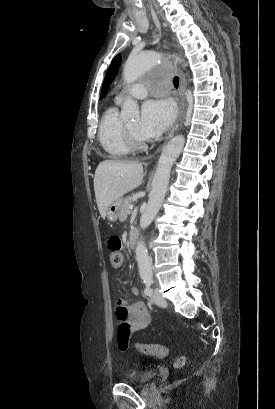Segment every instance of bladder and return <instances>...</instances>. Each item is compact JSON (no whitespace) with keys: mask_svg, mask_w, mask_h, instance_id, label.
Returning <instances> with one entry per match:
<instances>
[{"mask_svg":"<svg viewBox=\"0 0 275 409\" xmlns=\"http://www.w3.org/2000/svg\"><path fill=\"white\" fill-rule=\"evenodd\" d=\"M154 378H156L155 371L128 372L122 375L121 382L132 385H146Z\"/></svg>","mask_w":275,"mask_h":409,"instance_id":"1","label":"bladder"}]
</instances>
